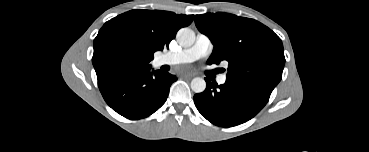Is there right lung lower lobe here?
<instances>
[{"instance_id":"1","label":"right lung lower lobe","mask_w":369,"mask_h":152,"mask_svg":"<svg viewBox=\"0 0 369 152\" xmlns=\"http://www.w3.org/2000/svg\"><path fill=\"white\" fill-rule=\"evenodd\" d=\"M176 80V76L167 72H150L149 67L120 73L98 85L113 110L137 120L153 114L165 103L170 86Z\"/></svg>"}]
</instances>
